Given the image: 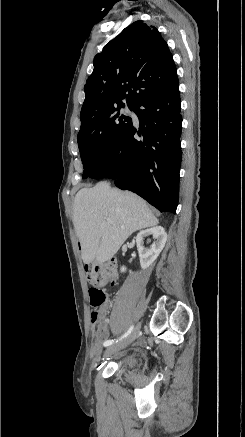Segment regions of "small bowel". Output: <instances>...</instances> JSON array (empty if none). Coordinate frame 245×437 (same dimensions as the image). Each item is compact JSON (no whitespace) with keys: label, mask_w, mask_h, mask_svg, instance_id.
I'll use <instances>...</instances> for the list:
<instances>
[{"label":"small bowel","mask_w":245,"mask_h":437,"mask_svg":"<svg viewBox=\"0 0 245 437\" xmlns=\"http://www.w3.org/2000/svg\"><path fill=\"white\" fill-rule=\"evenodd\" d=\"M100 311H101V317H102V316H104L106 314L107 308L104 306V307L101 308ZM91 324L94 326L96 323H94L92 321V319H91ZM101 326L104 329V333L101 336H97L95 334V339H94L93 345H92V350H93L94 353H96V352H98L100 350V346H101L102 341L108 336V330L106 328V325L102 324Z\"/></svg>","instance_id":"small-bowel-1"}]
</instances>
